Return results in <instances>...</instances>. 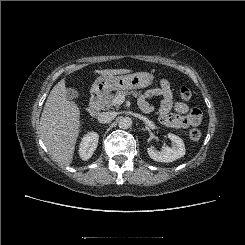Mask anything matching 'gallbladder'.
Masks as SVG:
<instances>
[{
	"label": "gallbladder",
	"instance_id": "bac80fb5",
	"mask_svg": "<svg viewBox=\"0 0 245 245\" xmlns=\"http://www.w3.org/2000/svg\"><path fill=\"white\" fill-rule=\"evenodd\" d=\"M66 96H67V99L74 100V99H78L80 94L75 88L69 87L66 90Z\"/></svg>",
	"mask_w": 245,
	"mask_h": 245
}]
</instances>
